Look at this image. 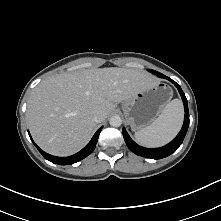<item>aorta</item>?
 <instances>
[{
  "label": "aorta",
  "instance_id": "obj_1",
  "mask_svg": "<svg viewBox=\"0 0 221 221\" xmlns=\"http://www.w3.org/2000/svg\"><path fill=\"white\" fill-rule=\"evenodd\" d=\"M109 123L113 127H119L122 124V120L118 115H115L110 118Z\"/></svg>",
  "mask_w": 221,
  "mask_h": 221
}]
</instances>
